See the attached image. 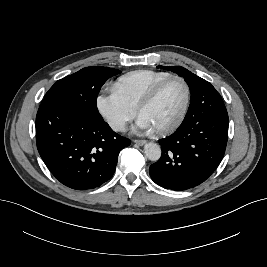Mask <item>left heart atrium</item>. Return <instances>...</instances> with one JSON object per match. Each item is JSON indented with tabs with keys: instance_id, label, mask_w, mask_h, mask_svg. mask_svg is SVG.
I'll list each match as a JSON object with an SVG mask.
<instances>
[{
	"instance_id": "left-heart-atrium-1",
	"label": "left heart atrium",
	"mask_w": 267,
	"mask_h": 267,
	"mask_svg": "<svg viewBox=\"0 0 267 267\" xmlns=\"http://www.w3.org/2000/svg\"><path fill=\"white\" fill-rule=\"evenodd\" d=\"M135 130L138 132H148L153 130V127L144 116L140 115L137 119Z\"/></svg>"
}]
</instances>
